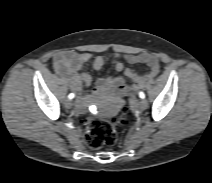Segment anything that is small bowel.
<instances>
[{"label":"small bowel","mask_w":212,"mask_h":183,"mask_svg":"<svg viewBox=\"0 0 212 183\" xmlns=\"http://www.w3.org/2000/svg\"><path fill=\"white\" fill-rule=\"evenodd\" d=\"M117 72L124 71L126 78L121 76H108L98 79L96 88L90 96H79L77 107L84 109L90 98L98 93L109 91L119 95H132L144 85L145 76L139 75L132 69H124V64L118 54L110 55ZM125 60L129 64H145L149 68L147 75H154L159 71V58L152 53H140L137 55L126 54ZM92 61V67L98 71L105 64L106 57L98 55L93 57L90 53H78L73 51L61 52L54 58V68L56 72L65 79L71 89L80 93L82 88L89 86L92 78L90 74L81 72V68L86 63Z\"/></svg>","instance_id":"1"}]
</instances>
